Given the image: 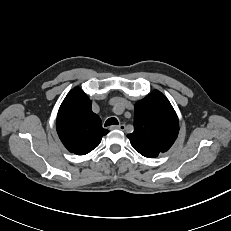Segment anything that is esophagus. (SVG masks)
I'll list each match as a JSON object with an SVG mask.
<instances>
[{
    "label": "esophagus",
    "mask_w": 231,
    "mask_h": 231,
    "mask_svg": "<svg viewBox=\"0 0 231 231\" xmlns=\"http://www.w3.org/2000/svg\"><path fill=\"white\" fill-rule=\"evenodd\" d=\"M110 129H119V130L124 131L125 130V125L121 124V125H118V126H111Z\"/></svg>",
    "instance_id": "esophagus-1"
}]
</instances>
